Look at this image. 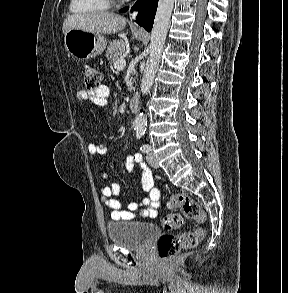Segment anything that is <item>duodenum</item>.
<instances>
[{
    "instance_id": "1",
    "label": "duodenum",
    "mask_w": 288,
    "mask_h": 293,
    "mask_svg": "<svg viewBox=\"0 0 288 293\" xmlns=\"http://www.w3.org/2000/svg\"><path fill=\"white\" fill-rule=\"evenodd\" d=\"M129 107L131 111L136 112L139 107V96L137 94H133L129 100Z\"/></svg>"
}]
</instances>
